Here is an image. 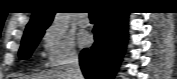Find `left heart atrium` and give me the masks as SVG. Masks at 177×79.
I'll use <instances>...</instances> for the list:
<instances>
[{
    "instance_id": "left-heart-atrium-1",
    "label": "left heart atrium",
    "mask_w": 177,
    "mask_h": 79,
    "mask_svg": "<svg viewBox=\"0 0 177 79\" xmlns=\"http://www.w3.org/2000/svg\"><path fill=\"white\" fill-rule=\"evenodd\" d=\"M91 42V37L87 33H84L80 37V43L82 46H88Z\"/></svg>"
}]
</instances>
